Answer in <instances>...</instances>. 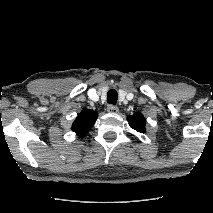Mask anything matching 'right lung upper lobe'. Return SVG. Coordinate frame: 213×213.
Listing matches in <instances>:
<instances>
[{"label":"right lung upper lobe","instance_id":"obj_1","mask_svg":"<svg viewBox=\"0 0 213 213\" xmlns=\"http://www.w3.org/2000/svg\"><path fill=\"white\" fill-rule=\"evenodd\" d=\"M97 119V112L93 110H83L78 114L76 120L72 125V130L77 134L83 137L86 133L89 132L91 127L94 125Z\"/></svg>","mask_w":213,"mask_h":213}]
</instances>
